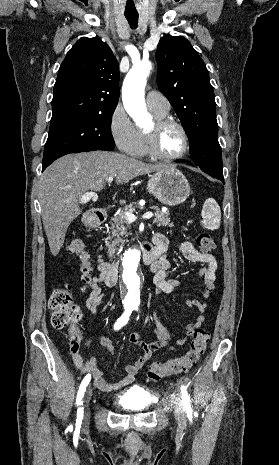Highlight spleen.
<instances>
[{
	"label": "spleen",
	"instance_id": "obj_1",
	"mask_svg": "<svg viewBox=\"0 0 279 465\" xmlns=\"http://www.w3.org/2000/svg\"><path fill=\"white\" fill-rule=\"evenodd\" d=\"M203 226L209 230H216L220 227L221 211L217 202L213 198L205 201L202 208Z\"/></svg>",
	"mask_w": 279,
	"mask_h": 465
}]
</instances>
